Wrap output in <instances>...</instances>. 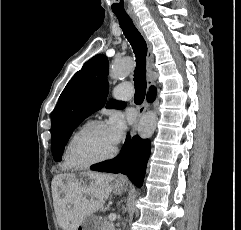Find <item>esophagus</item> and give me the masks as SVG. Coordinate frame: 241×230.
<instances>
[{"label":"esophagus","mask_w":241,"mask_h":230,"mask_svg":"<svg viewBox=\"0 0 241 230\" xmlns=\"http://www.w3.org/2000/svg\"><path fill=\"white\" fill-rule=\"evenodd\" d=\"M130 18L132 19L135 27L138 29L140 34L145 38L144 32L142 30V27L140 25V22L138 20V17L134 14L131 13L129 14ZM148 45V52H147V85L148 88L154 84V80L152 79V71H153V66H154V56L152 54V46L151 44L147 41ZM148 102L145 100L138 108V117H137V122L132 128V133L134 134L137 130L138 127V122L142 118V116L145 114V112L148 109Z\"/></svg>","instance_id":"34e87169"}]
</instances>
